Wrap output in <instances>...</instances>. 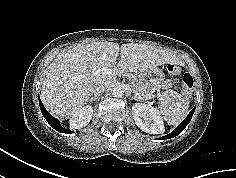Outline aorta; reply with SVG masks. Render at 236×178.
<instances>
[{"mask_svg":"<svg viewBox=\"0 0 236 178\" xmlns=\"http://www.w3.org/2000/svg\"><path fill=\"white\" fill-rule=\"evenodd\" d=\"M123 94H124V91H123L122 88H120V87H115V88H113V90H112V95H113L114 97H122Z\"/></svg>","mask_w":236,"mask_h":178,"instance_id":"762f6f07","label":"aorta"}]
</instances>
